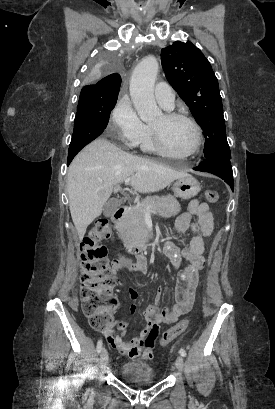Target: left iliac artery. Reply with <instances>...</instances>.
<instances>
[{"mask_svg": "<svg viewBox=\"0 0 275 409\" xmlns=\"http://www.w3.org/2000/svg\"><path fill=\"white\" fill-rule=\"evenodd\" d=\"M179 353L181 356L186 357V351L183 348L179 350Z\"/></svg>", "mask_w": 275, "mask_h": 409, "instance_id": "left-iliac-artery-1", "label": "left iliac artery"}]
</instances>
